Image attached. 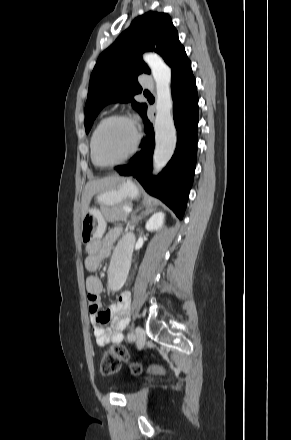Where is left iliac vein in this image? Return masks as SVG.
Listing matches in <instances>:
<instances>
[{
    "instance_id": "1",
    "label": "left iliac vein",
    "mask_w": 291,
    "mask_h": 440,
    "mask_svg": "<svg viewBox=\"0 0 291 440\" xmlns=\"http://www.w3.org/2000/svg\"><path fill=\"white\" fill-rule=\"evenodd\" d=\"M135 335H136V344L138 348H142L146 340L145 331L143 330V328L138 326L135 329Z\"/></svg>"
}]
</instances>
